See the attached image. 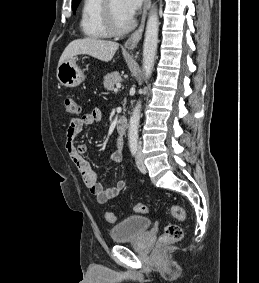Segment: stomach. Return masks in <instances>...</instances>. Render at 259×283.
Listing matches in <instances>:
<instances>
[{"mask_svg":"<svg viewBox=\"0 0 259 283\" xmlns=\"http://www.w3.org/2000/svg\"><path fill=\"white\" fill-rule=\"evenodd\" d=\"M76 61L77 57H71L58 65L57 79L61 85L77 87L85 80L84 71L78 67Z\"/></svg>","mask_w":259,"mask_h":283,"instance_id":"stomach-1","label":"stomach"}]
</instances>
